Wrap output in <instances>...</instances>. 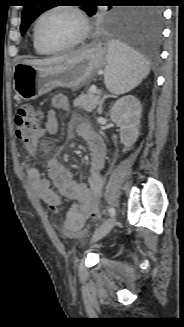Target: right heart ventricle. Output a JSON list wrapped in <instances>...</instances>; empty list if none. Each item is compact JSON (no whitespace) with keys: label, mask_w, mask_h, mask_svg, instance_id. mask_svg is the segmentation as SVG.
Returning <instances> with one entry per match:
<instances>
[{"label":"right heart ventricle","mask_w":184,"mask_h":327,"mask_svg":"<svg viewBox=\"0 0 184 327\" xmlns=\"http://www.w3.org/2000/svg\"><path fill=\"white\" fill-rule=\"evenodd\" d=\"M33 47H34V50L40 55H47L50 53V52H47V51L43 50L42 48H40L37 45V43L35 42L34 38H33Z\"/></svg>","instance_id":"e07e8e85"}]
</instances>
